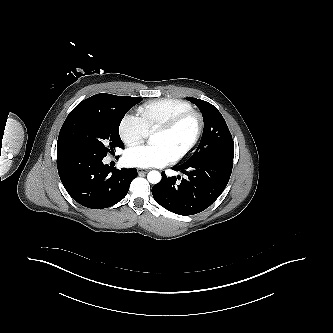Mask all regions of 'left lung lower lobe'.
<instances>
[{"mask_svg": "<svg viewBox=\"0 0 333 333\" xmlns=\"http://www.w3.org/2000/svg\"><path fill=\"white\" fill-rule=\"evenodd\" d=\"M233 168L228 157L206 158L183 163L173 170L188 176L167 177L152 187L155 201L165 209L183 216L194 215L208 208L225 189Z\"/></svg>", "mask_w": 333, "mask_h": 333, "instance_id": "1", "label": "left lung lower lobe"}]
</instances>
